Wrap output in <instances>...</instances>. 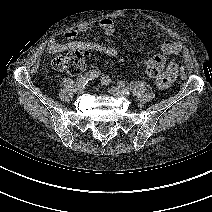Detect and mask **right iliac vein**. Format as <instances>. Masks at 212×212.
Masks as SVG:
<instances>
[{
  "instance_id": "obj_1",
  "label": "right iliac vein",
  "mask_w": 212,
  "mask_h": 212,
  "mask_svg": "<svg viewBox=\"0 0 212 212\" xmlns=\"http://www.w3.org/2000/svg\"><path fill=\"white\" fill-rule=\"evenodd\" d=\"M78 94H83L85 92L84 88H78L77 90Z\"/></svg>"
}]
</instances>
